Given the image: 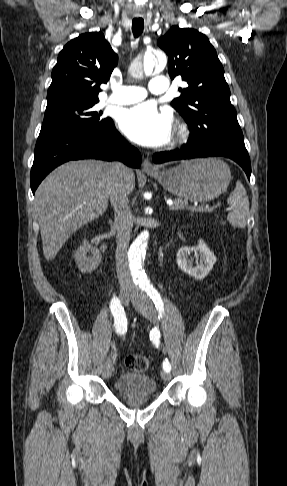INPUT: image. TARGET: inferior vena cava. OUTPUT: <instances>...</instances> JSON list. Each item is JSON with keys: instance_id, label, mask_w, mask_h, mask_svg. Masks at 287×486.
I'll use <instances>...</instances> for the list:
<instances>
[{"instance_id": "obj_1", "label": "inferior vena cava", "mask_w": 287, "mask_h": 486, "mask_svg": "<svg viewBox=\"0 0 287 486\" xmlns=\"http://www.w3.org/2000/svg\"><path fill=\"white\" fill-rule=\"evenodd\" d=\"M111 173L109 197L114 207V226L117 229L116 271L120 288L122 290H134L135 287L131 278L127 257L134 223L133 214L128 206L129 201L126 192V180L129 170L122 166L121 163L115 162L112 164Z\"/></svg>"}]
</instances>
